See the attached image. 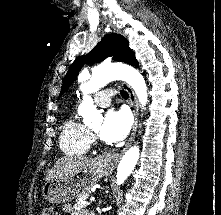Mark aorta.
<instances>
[{"instance_id":"1","label":"aorta","mask_w":221,"mask_h":215,"mask_svg":"<svg viewBox=\"0 0 221 215\" xmlns=\"http://www.w3.org/2000/svg\"><path fill=\"white\" fill-rule=\"evenodd\" d=\"M123 80L135 91L142 107L147 103V86L141 73L135 68L121 63L101 64L94 68L91 78L80 85L83 94V101L78 107V114L83 118L85 124L100 117V113L94 105L93 99L89 96L92 92L98 91L111 81ZM140 150L138 146L131 147L119 162L116 183L121 185L131 174L139 159Z\"/></svg>"}]
</instances>
